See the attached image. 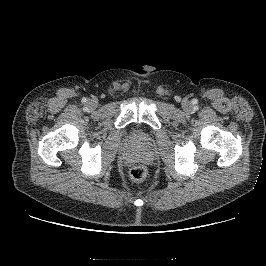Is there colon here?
<instances>
[{"label": "colon", "instance_id": "obj_1", "mask_svg": "<svg viewBox=\"0 0 266 266\" xmlns=\"http://www.w3.org/2000/svg\"><path fill=\"white\" fill-rule=\"evenodd\" d=\"M148 175V170L144 165H136L130 170V177L133 181L141 183L145 181Z\"/></svg>", "mask_w": 266, "mask_h": 266}]
</instances>
